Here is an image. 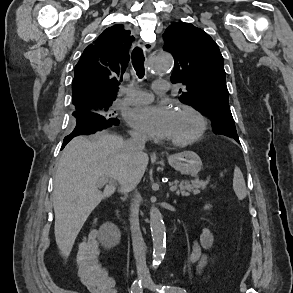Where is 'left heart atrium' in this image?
Wrapping results in <instances>:
<instances>
[{
  "label": "left heart atrium",
  "instance_id": "obj_1",
  "mask_svg": "<svg viewBox=\"0 0 293 293\" xmlns=\"http://www.w3.org/2000/svg\"><path fill=\"white\" fill-rule=\"evenodd\" d=\"M174 112L165 104L146 105L131 108L126 112L127 122L153 138H167Z\"/></svg>",
  "mask_w": 293,
  "mask_h": 293
}]
</instances>
